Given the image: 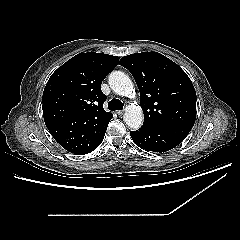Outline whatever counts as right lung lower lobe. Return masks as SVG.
Instances as JSON below:
<instances>
[{
    "label": "right lung lower lobe",
    "mask_w": 240,
    "mask_h": 240,
    "mask_svg": "<svg viewBox=\"0 0 240 240\" xmlns=\"http://www.w3.org/2000/svg\"><path fill=\"white\" fill-rule=\"evenodd\" d=\"M103 140V139H102ZM102 140L98 143V145H96L93 149H91L90 151H88V152H86V153H84V154H87V153H90V152H92L94 149H96L99 145H100V143L102 142Z\"/></svg>",
    "instance_id": "98d812e1"
}]
</instances>
